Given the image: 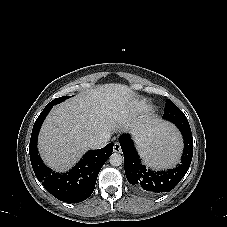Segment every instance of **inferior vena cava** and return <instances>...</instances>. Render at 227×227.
<instances>
[{"mask_svg":"<svg viewBox=\"0 0 227 227\" xmlns=\"http://www.w3.org/2000/svg\"><path fill=\"white\" fill-rule=\"evenodd\" d=\"M109 140H110V133H101L90 138L87 145L91 149H99L106 146Z\"/></svg>","mask_w":227,"mask_h":227,"instance_id":"inferior-vena-cava-1","label":"inferior vena cava"}]
</instances>
